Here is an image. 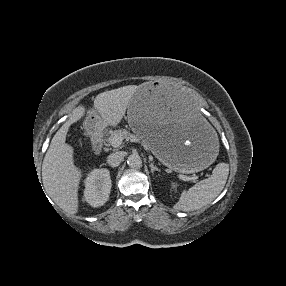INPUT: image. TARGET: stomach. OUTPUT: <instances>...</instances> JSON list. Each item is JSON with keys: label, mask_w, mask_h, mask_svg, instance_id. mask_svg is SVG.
Here are the masks:
<instances>
[{"label": "stomach", "mask_w": 286, "mask_h": 286, "mask_svg": "<svg viewBox=\"0 0 286 286\" xmlns=\"http://www.w3.org/2000/svg\"><path fill=\"white\" fill-rule=\"evenodd\" d=\"M127 117L134 134L175 172L202 171L217 157V133L202 116L200 103L179 84L148 81L139 85ZM97 125V115L91 112L85 129L92 134Z\"/></svg>", "instance_id": "stomach-1"}]
</instances>
